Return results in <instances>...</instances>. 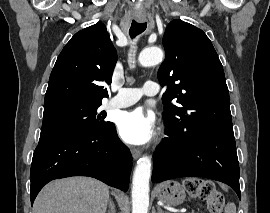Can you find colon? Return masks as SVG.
<instances>
[{
    "mask_svg": "<svg viewBox=\"0 0 270 213\" xmlns=\"http://www.w3.org/2000/svg\"><path fill=\"white\" fill-rule=\"evenodd\" d=\"M185 190L191 197L204 200L208 213H221L225 198L223 193L211 181L200 178L187 179Z\"/></svg>",
    "mask_w": 270,
    "mask_h": 213,
    "instance_id": "5ec220e1",
    "label": "colon"
}]
</instances>
